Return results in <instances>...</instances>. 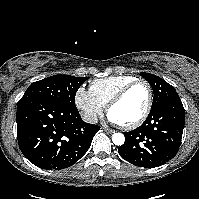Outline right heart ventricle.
Here are the masks:
<instances>
[{
  "instance_id": "e07e8e85",
  "label": "right heart ventricle",
  "mask_w": 199,
  "mask_h": 199,
  "mask_svg": "<svg viewBox=\"0 0 199 199\" xmlns=\"http://www.w3.org/2000/svg\"><path fill=\"white\" fill-rule=\"evenodd\" d=\"M135 80L132 76H111L94 80L90 84L89 91L103 106H106L116 94L128 83Z\"/></svg>"
}]
</instances>
